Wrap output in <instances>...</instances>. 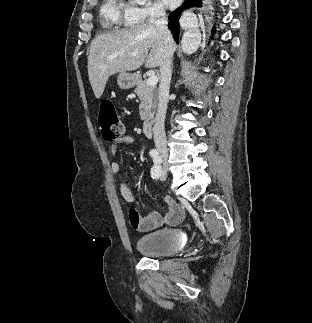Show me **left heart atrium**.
<instances>
[{"instance_id": "1", "label": "left heart atrium", "mask_w": 312, "mask_h": 323, "mask_svg": "<svg viewBox=\"0 0 312 323\" xmlns=\"http://www.w3.org/2000/svg\"><path fill=\"white\" fill-rule=\"evenodd\" d=\"M184 0H161L164 8H179L180 4H183Z\"/></svg>"}]
</instances>
